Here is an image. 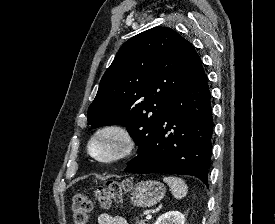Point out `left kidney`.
Segmentation results:
<instances>
[{"label": "left kidney", "mask_w": 275, "mask_h": 224, "mask_svg": "<svg viewBox=\"0 0 275 224\" xmlns=\"http://www.w3.org/2000/svg\"><path fill=\"white\" fill-rule=\"evenodd\" d=\"M185 217L179 211H170L161 215L154 224H184Z\"/></svg>", "instance_id": "obj_1"}]
</instances>
